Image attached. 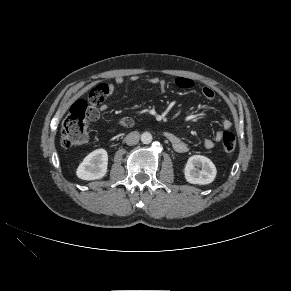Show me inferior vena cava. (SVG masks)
Returning a JSON list of instances; mask_svg holds the SVG:
<instances>
[{"instance_id":"1","label":"inferior vena cava","mask_w":291,"mask_h":291,"mask_svg":"<svg viewBox=\"0 0 291 291\" xmlns=\"http://www.w3.org/2000/svg\"><path fill=\"white\" fill-rule=\"evenodd\" d=\"M139 138H140L139 132L133 131L125 137V142L127 145H130V146L135 145L138 143Z\"/></svg>"}]
</instances>
